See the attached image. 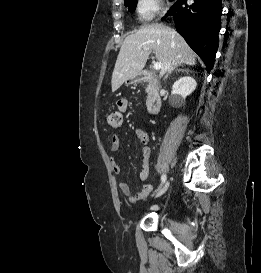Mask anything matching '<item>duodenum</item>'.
<instances>
[{
	"mask_svg": "<svg viewBox=\"0 0 261 273\" xmlns=\"http://www.w3.org/2000/svg\"><path fill=\"white\" fill-rule=\"evenodd\" d=\"M140 82L149 83L153 86L156 85V76L152 74L151 72H143L139 78ZM162 104V99L159 94L153 92L148 100V111L150 114H156Z\"/></svg>",
	"mask_w": 261,
	"mask_h": 273,
	"instance_id": "410a0bca",
	"label": "duodenum"
}]
</instances>
